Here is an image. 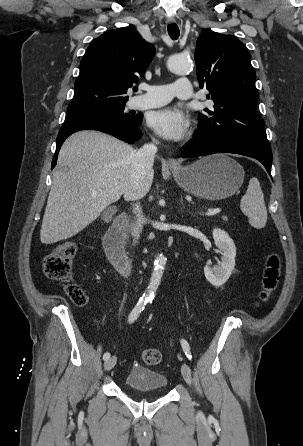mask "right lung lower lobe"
Here are the masks:
<instances>
[{"label": "right lung lower lobe", "mask_w": 303, "mask_h": 446, "mask_svg": "<svg viewBox=\"0 0 303 446\" xmlns=\"http://www.w3.org/2000/svg\"><path fill=\"white\" fill-rule=\"evenodd\" d=\"M142 119L135 124H128L120 120L103 117L89 116L66 122L57 136L56 151L52 160V169L57 163L58 152L64 140L72 133L80 130L92 129L109 133L127 143H133L142 136L139 126Z\"/></svg>", "instance_id": "1"}]
</instances>
